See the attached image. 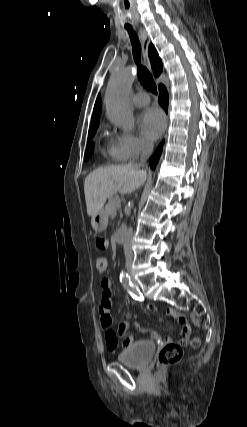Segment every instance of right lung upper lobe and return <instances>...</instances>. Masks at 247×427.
Returning a JSON list of instances; mask_svg holds the SVG:
<instances>
[{
	"label": "right lung upper lobe",
	"instance_id": "right-lung-upper-lobe-1",
	"mask_svg": "<svg viewBox=\"0 0 247 427\" xmlns=\"http://www.w3.org/2000/svg\"><path fill=\"white\" fill-rule=\"evenodd\" d=\"M149 58L151 60L154 74L158 76L162 72V62L153 45L149 46ZM100 113H101V98L99 95L95 102L90 127L99 125Z\"/></svg>",
	"mask_w": 247,
	"mask_h": 427
}]
</instances>
